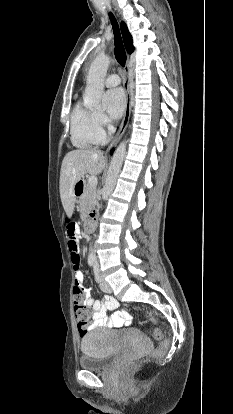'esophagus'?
<instances>
[{"label": "esophagus", "instance_id": "34e87169", "mask_svg": "<svg viewBox=\"0 0 233 414\" xmlns=\"http://www.w3.org/2000/svg\"><path fill=\"white\" fill-rule=\"evenodd\" d=\"M130 67H129V61L125 67V81H124V88H125V92H126V100H125V110H124V116L121 122V125L119 127V130L116 134V136L114 137L113 141L111 142V144L109 145V147L107 148V153L110 152L111 148L113 146H115L117 144V142L121 139V137L123 136L129 119H130V114H131V106H132V101H131V90H130Z\"/></svg>", "mask_w": 233, "mask_h": 414}]
</instances>
